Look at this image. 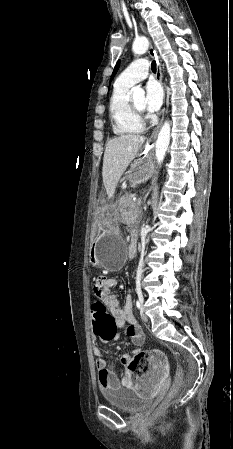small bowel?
Instances as JSON below:
<instances>
[{"mask_svg":"<svg viewBox=\"0 0 233 449\" xmlns=\"http://www.w3.org/2000/svg\"><path fill=\"white\" fill-rule=\"evenodd\" d=\"M116 285L117 280L112 278L111 274H97L96 278L93 279L91 289L98 301H104L108 314L115 320V329L125 327V335L129 338L131 344L137 347L142 346L145 342V335L134 317L132 297L127 295L124 298L123 305H121L118 297L112 292ZM92 337L95 340L98 336L92 333ZM119 339L120 334L118 333L114 341ZM92 352L95 357L101 388L109 389L117 386L120 382L130 384L131 390H136L139 399H156L157 394L161 393V384L164 383V377L168 376L169 371V364L165 363L166 355L162 354L161 347L147 348L146 352L150 363H148V368L143 369V375H127L125 373L120 379L108 370L107 358L95 342L92 345ZM130 355L131 353L125 356Z\"/></svg>","mask_w":233,"mask_h":449,"instance_id":"1","label":"small bowel"}]
</instances>
